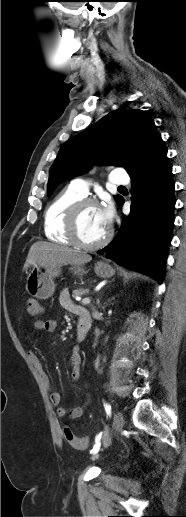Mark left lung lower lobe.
I'll use <instances>...</instances> for the list:
<instances>
[{"instance_id": "left-lung-lower-lobe-1", "label": "left lung lower lobe", "mask_w": 186, "mask_h": 517, "mask_svg": "<svg viewBox=\"0 0 186 517\" xmlns=\"http://www.w3.org/2000/svg\"><path fill=\"white\" fill-rule=\"evenodd\" d=\"M132 183L130 214L115 239L98 253L121 266L162 282L174 223V182L167 148L160 139L128 173ZM123 198L118 202L121 207Z\"/></svg>"}]
</instances>
